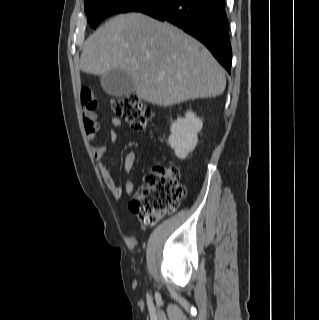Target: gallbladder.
Segmentation results:
<instances>
[{
	"label": "gallbladder",
	"mask_w": 319,
	"mask_h": 320,
	"mask_svg": "<svg viewBox=\"0 0 319 320\" xmlns=\"http://www.w3.org/2000/svg\"><path fill=\"white\" fill-rule=\"evenodd\" d=\"M103 90L114 97H124L135 91L134 83L128 73L123 70H112L101 78Z\"/></svg>",
	"instance_id": "bac80fb5"
}]
</instances>
